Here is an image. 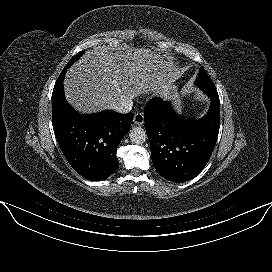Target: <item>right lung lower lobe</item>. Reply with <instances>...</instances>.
Returning a JSON list of instances; mask_svg holds the SVG:
<instances>
[{"label":"right lung lower lobe","mask_w":272,"mask_h":272,"mask_svg":"<svg viewBox=\"0 0 272 272\" xmlns=\"http://www.w3.org/2000/svg\"><path fill=\"white\" fill-rule=\"evenodd\" d=\"M132 120V113L112 110L82 115L67 103L63 82L54 86L52 123L58 144L72 168L88 180H104L118 169L116 150Z\"/></svg>","instance_id":"right-lung-lower-lobe-1"}]
</instances>
